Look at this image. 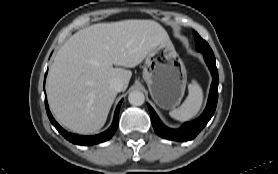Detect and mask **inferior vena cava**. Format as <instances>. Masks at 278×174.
Here are the masks:
<instances>
[{
    "label": "inferior vena cava",
    "instance_id": "1",
    "mask_svg": "<svg viewBox=\"0 0 278 174\" xmlns=\"http://www.w3.org/2000/svg\"><path fill=\"white\" fill-rule=\"evenodd\" d=\"M110 87L115 90L116 92H120L123 90L124 85L121 79L114 78L110 81Z\"/></svg>",
    "mask_w": 278,
    "mask_h": 174
}]
</instances>
